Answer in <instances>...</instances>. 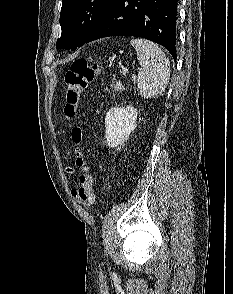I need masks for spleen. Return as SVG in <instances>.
<instances>
[{
    "instance_id": "obj_1",
    "label": "spleen",
    "mask_w": 233,
    "mask_h": 294,
    "mask_svg": "<svg viewBox=\"0 0 233 294\" xmlns=\"http://www.w3.org/2000/svg\"><path fill=\"white\" fill-rule=\"evenodd\" d=\"M141 67L136 85L141 97L156 98L169 83L170 63L165 53L155 43L136 38L130 41Z\"/></svg>"
}]
</instances>
